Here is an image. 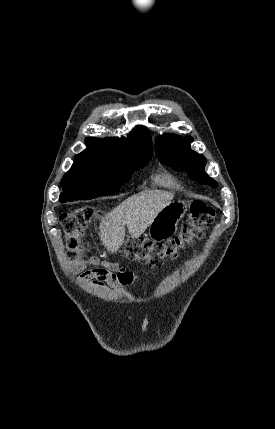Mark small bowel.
<instances>
[{
  "instance_id": "c3829d8e",
  "label": "small bowel",
  "mask_w": 275,
  "mask_h": 429,
  "mask_svg": "<svg viewBox=\"0 0 275 429\" xmlns=\"http://www.w3.org/2000/svg\"><path fill=\"white\" fill-rule=\"evenodd\" d=\"M121 271L123 272V277L120 278L114 272L107 269H91L83 272L80 275V280L82 282H89L96 287H105L106 284H110L120 292H126V287L134 282L136 277L125 268H121Z\"/></svg>"
}]
</instances>
